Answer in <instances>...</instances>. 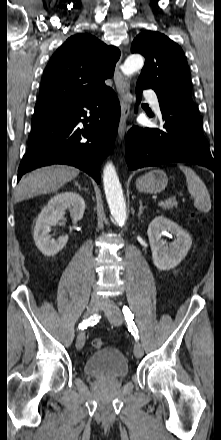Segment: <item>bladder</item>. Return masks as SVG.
Wrapping results in <instances>:
<instances>
[{"label": "bladder", "instance_id": "bladder-1", "mask_svg": "<svg viewBox=\"0 0 221 440\" xmlns=\"http://www.w3.org/2000/svg\"><path fill=\"white\" fill-rule=\"evenodd\" d=\"M84 372L89 377L116 380L128 374V363L120 350L101 349L85 361Z\"/></svg>", "mask_w": 221, "mask_h": 440}]
</instances>
